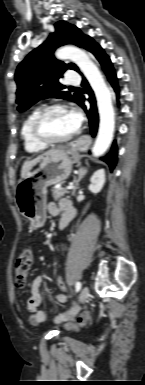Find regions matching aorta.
Wrapping results in <instances>:
<instances>
[{
  "label": "aorta",
  "instance_id": "aorta-1",
  "mask_svg": "<svg viewBox=\"0 0 145 385\" xmlns=\"http://www.w3.org/2000/svg\"><path fill=\"white\" fill-rule=\"evenodd\" d=\"M55 55L58 59L72 60L83 72L95 93L100 115V125L92 153L95 157H99L109 148L115 128V114L110 90L97 66L80 48L67 45L59 48Z\"/></svg>",
  "mask_w": 145,
  "mask_h": 385
}]
</instances>
